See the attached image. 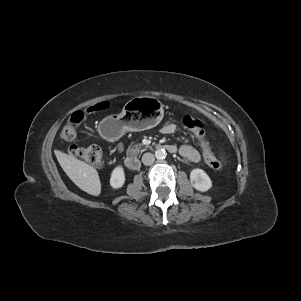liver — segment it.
Here are the masks:
<instances>
[{"label":"liver","instance_id":"obj_1","mask_svg":"<svg viewBox=\"0 0 301 301\" xmlns=\"http://www.w3.org/2000/svg\"><path fill=\"white\" fill-rule=\"evenodd\" d=\"M55 155L60 166L75 185L93 196L100 194L101 183L94 167L59 150L55 151Z\"/></svg>","mask_w":301,"mask_h":301}]
</instances>
